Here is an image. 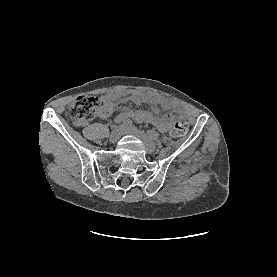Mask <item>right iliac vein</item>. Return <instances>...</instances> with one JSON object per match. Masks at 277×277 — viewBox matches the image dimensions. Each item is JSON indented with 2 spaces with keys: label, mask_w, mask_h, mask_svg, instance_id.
Instances as JSON below:
<instances>
[{
  "label": "right iliac vein",
  "mask_w": 277,
  "mask_h": 277,
  "mask_svg": "<svg viewBox=\"0 0 277 277\" xmlns=\"http://www.w3.org/2000/svg\"><path fill=\"white\" fill-rule=\"evenodd\" d=\"M123 132V128H121V126H115L112 129V132L109 136V141L110 143H115L119 140L120 136L122 135Z\"/></svg>",
  "instance_id": "63e3f726"
}]
</instances>
